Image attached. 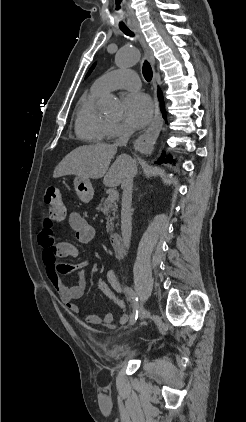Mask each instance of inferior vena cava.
Segmentation results:
<instances>
[{"label": "inferior vena cava", "mask_w": 246, "mask_h": 422, "mask_svg": "<svg viewBox=\"0 0 246 422\" xmlns=\"http://www.w3.org/2000/svg\"><path fill=\"white\" fill-rule=\"evenodd\" d=\"M131 129L125 128L117 141L115 146H126L127 142L132 135ZM136 172L130 170L123 183V196H122V208H121V231L123 237V243L126 249H129L132 233V213H131V202H132V190H133V178Z\"/></svg>", "instance_id": "inferior-vena-cava-1"}]
</instances>
